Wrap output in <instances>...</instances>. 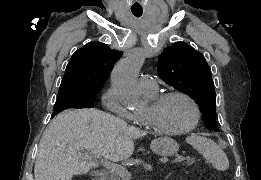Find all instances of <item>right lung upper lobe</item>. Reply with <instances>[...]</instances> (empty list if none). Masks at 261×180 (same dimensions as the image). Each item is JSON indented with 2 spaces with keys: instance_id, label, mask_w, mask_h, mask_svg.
Segmentation results:
<instances>
[{
  "instance_id": "cb5924a9",
  "label": "right lung upper lobe",
  "mask_w": 261,
  "mask_h": 180,
  "mask_svg": "<svg viewBox=\"0 0 261 180\" xmlns=\"http://www.w3.org/2000/svg\"><path fill=\"white\" fill-rule=\"evenodd\" d=\"M122 52L111 50L106 44L91 42L78 49L70 59L60 88L83 86L102 88L113 64Z\"/></svg>"
}]
</instances>
